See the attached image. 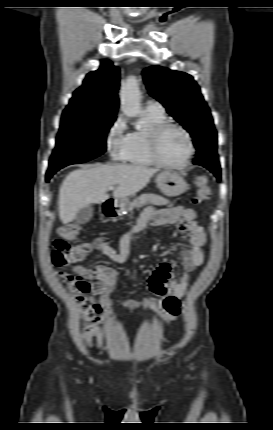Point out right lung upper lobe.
Instances as JSON below:
<instances>
[{
	"label": "right lung upper lobe",
	"mask_w": 273,
	"mask_h": 430,
	"mask_svg": "<svg viewBox=\"0 0 273 430\" xmlns=\"http://www.w3.org/2000/svg\"><path fill=\"white\" fill-rule=\"evenodd\" d=\"M119 77V68L108 60L101 61L98 70L87 74L83 85L74 92L64 112L116 117Z\"/></svg>",
	"instance_id": "right-lung-upper-lobe-1"
}]
</instances>
